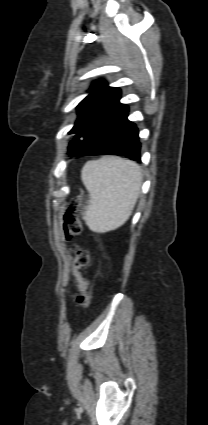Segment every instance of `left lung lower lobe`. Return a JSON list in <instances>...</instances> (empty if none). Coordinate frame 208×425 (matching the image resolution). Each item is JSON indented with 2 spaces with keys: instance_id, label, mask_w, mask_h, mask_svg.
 Returning a JSON list of instances; mask_svg holds the SVG:
<instances>
[{
  "instance_id": "0a47b994",
  "label": "left lung lower lobe",
  "mask_w": 208,
  "mask_h": 425,
  "mask_svg": "<svg viewBox=\"0 0 208 425\" xmlns=\"http://www.w3.org/2000/svg\"><path fill=\"white\" fill-rule=\"evenodd\" d=\"M120 96L74 137L80 142V155H118L140 162L138 129L130 122L128 106Z\"/></svg>"
}]
</instances>
